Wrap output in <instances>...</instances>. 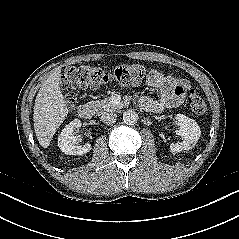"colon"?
<instances>
[{"mask_svg":"<svg viewBox=\"0 0 239 239\" xmlns=\"http://www.w3.org/2000/svg\"><path fill=\"white\" fill-rule=\"evenodd\" d=\"M146 75V68L141 64H122L114 69L106 70L96 66L81 65L66 69L62 75V86L67 101L75 102L73 90L84 88H100L109 83L121 86H136L142 83ZM187 102L194 113L202 114L206 110V103L201 93L190 90Z\"/></svg>","mask_w":239,"mask_h":239,"instance_id":"obj_1","label":"colon"}]
</instances>
